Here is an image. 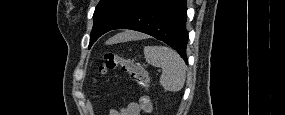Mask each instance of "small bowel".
Here are the masks:
<instances>
[{"mask_svg":"<svg viewBox=\"0 0 285 115\" xmlns=\"http://www.w3.org/2000/svg\"><path fill=\"white\" fill-rule=\"evenodd\" d=\"M147 112L151 110V105L148 101L143 107ZM142 110V106L137 102H132L128 104L125 108L121 109L120 111L111 109L109 111V115H140Z\"/></svg>","mask_w":285,"mask_h":115,"instance_id":"1","label":"small bowel"}]
</instances>
